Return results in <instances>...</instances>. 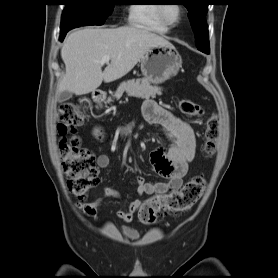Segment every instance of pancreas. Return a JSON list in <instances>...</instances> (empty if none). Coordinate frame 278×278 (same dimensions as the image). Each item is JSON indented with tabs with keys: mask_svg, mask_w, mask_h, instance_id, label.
<instances>
[{
	"mask_svg": "<svg viewBox=\"0 0 278 278\" xmlns=\"http://www.w3.org/2000/svg\"><path fill=\"white\" fill-rule=\"evenodd\" d=\"M161 88L158 86H152L151 83L146 79H136L122 82L117 88L113 98L119 99L123 93L126 92L128 96L137 98H155L156 95L161 94ZM112 99L108 98L107 102H111Z\"/></svg>",
	"mask_w": 278,
	"mask_h": 278,
	"instance_id": "pancreas-1",
	"label": "pancreas"
}]
</instances>
